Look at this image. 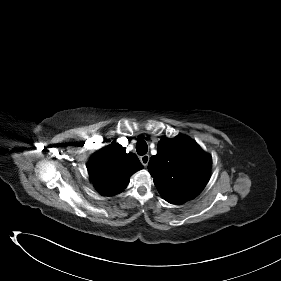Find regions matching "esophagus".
Instances as JSON below:
<instances>
[{
    "instance_id": "obj_1",
    "label": "esophagus",
    "mask_w": 281,
    "mask_h": 281,
    "mask_svg": "<svg viewBox=\"0 0 281 281\" xmlns=\"http://www.w3.org/2000/svg\"><path fill=\"white\" fill-rule=\"evenodd\" d=\"M149 160H150V156L148 154L140 157V161L145 167L148 165Z\"/></svg>"
}]
</instances>
